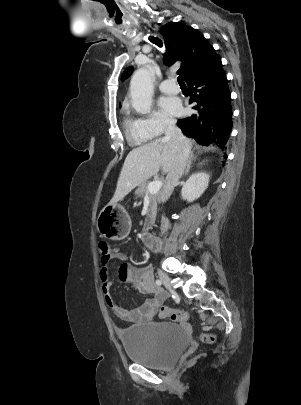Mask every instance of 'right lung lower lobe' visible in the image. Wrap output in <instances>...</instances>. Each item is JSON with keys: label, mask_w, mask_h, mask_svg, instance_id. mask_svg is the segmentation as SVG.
<instances>
[{"label": "right lung lower lobe", "mask_w": 301, "mask_h": 405, "mask_svg": "<svg viewBox=\"0 0 301 405\" xmlns=\"http://www.w3.org/2000/svg\"><path fill=\"white\" fill-rule=\"evenodd\" d=\"M190 101L196 103V113L179 120L177 125L185 135L198 143L214 144L225 149L232 131L231 94L220 58L208 69L187 81Z\"/></svg>", "instance_id": "1"}]
</instances>
